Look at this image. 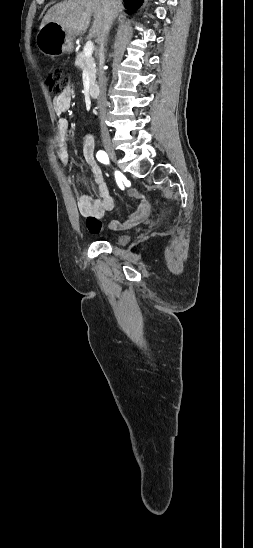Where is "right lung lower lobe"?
I'll use <instances>...</instances> for the list:
<instances>
[{
    "instance_id": "1",
    "label": "right lung lower lobe",
    "mask_w": 253,
    "mask_h": 548,
    "mask_svg": "<svg viewBox=\"0 0 253 548\" xmlns=\"http://www.w3.org/2000/svg\"><path fill=\"white\" fill-rule=\"evenodd\" d=\"M124 2L126 3V5L128 7H130L131 9H136L138 8L141 3L143 2V0H124Z\"/></svg>"
}]
</instances>
